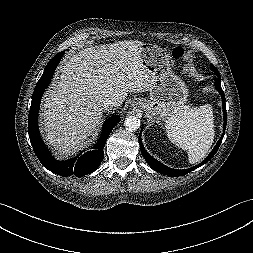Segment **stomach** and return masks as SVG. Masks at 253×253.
<instances>
[{"mask_svg":"<svg viewBox=\"0 0 253 253\" xmlns=\"http://www.w3.org/2000/svg\"><path fill=\"white\" fill-rule=\"evenodd\" d=\"M143 64L155 75L149 99L139 98L134 104L156 122H167L187 102L189 91L184 81L170 67L168 54L159 46L143 43L140 46Z\"/></svg>","mask_w":253,"mask_h":253,"instance_id":"stomach-1","label":"stomach"}]
</instances>
